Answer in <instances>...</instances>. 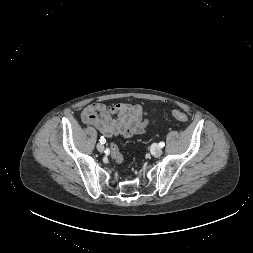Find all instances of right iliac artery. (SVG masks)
I'll list each match as a JSON object with an SVG mask.
<instances>
[{"instance_id":"obj_1","label":"right iliac artery","mask_w":253,"mask_h":253,"mask_svg":"<svg viewBox=\"0 0 253 253\" xmlns=\"http://www.w3.org/2000/svg\"><path fill=\"white\" fill-rule=\"evenodd\" d=\"M100 143H102V144H104L105 142H106V140L104 139V137L102 136L101 138H100Z\"/></svg>"}]
</instances>
